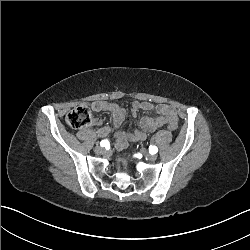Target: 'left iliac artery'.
I'll return each mask as SVG.
<instances>
[{
  "instance_id": "1",
  "label": "left iliac artery",
  "mask_w": 250,
  "mask_h": 250,
  "mask_svg": "<svg viewBox=\"0 0 250 250\" xmlns=\"http://www.w3.org/2000/svg\"><path fill=\"white\" fill-rule=\"evenodd\" d=\"M149 152L151 154H156L158 152V148L156 146L150 145L149 146Z\"/></svg>"
}]
</instances>
